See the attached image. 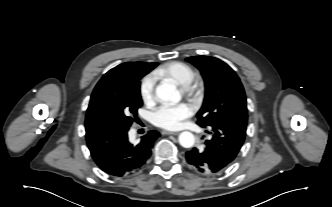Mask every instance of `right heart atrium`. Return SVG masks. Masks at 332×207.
Returning <instances> with one entry per match:
<instances>
[{"label": "right heart atrium", "instance_id": "d8ad5b80", "mask_svg": "<svg viewBox=\"0 0 332 207\" xmlns=\"http://www.w3.org/2000/svg\"><path fill=\"white\" fill-rule=\"evenodd\" d=\"M156 79L153 75L145 76L139 87L140 96L145 104H152L155 101Z\"/></svg>", "mask_w": 332, "mask_h": 207}]
</instances>
